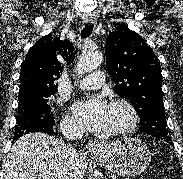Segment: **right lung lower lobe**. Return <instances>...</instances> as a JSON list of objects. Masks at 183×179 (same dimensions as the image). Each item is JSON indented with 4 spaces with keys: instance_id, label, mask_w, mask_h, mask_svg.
<instances>
[{
    "instance_id": "98d812e1",
    "label": "right lung lower lobe",
    "mask_w": 183,
    "mask_h": 179,
    "mask_svg": "<svg viewBox=\"0 0 183 179\" xmlns=\"http://www.w3.org/2000/svg\"><path fill=\"white\" fill-rule=\"evenodd\" d=\"M29 132H44V133H47V134H50V135L55 134V131H54L53 127H47V128H43V129H37V130L23 132L21 135L14 136V139H18L22 135L27 134Z\"/></svg>"
}]
</instances>
